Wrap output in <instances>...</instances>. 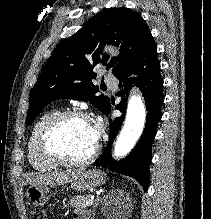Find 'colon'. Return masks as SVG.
I'll use <instances>...</instances> for the list:
<instances>
[{"mask_svg": "<svg viewBox=\"0 0 211 219\" xmlns=\"http://www.w3.org/2000/svg\"><path fill=\"white\" fill-rule=\"evenodd\" d=\"M31 219H53V216L50 212L36 209L31 212Z\"/></svg>", "mask_w": 211, "mask_h": 219, "instance_id": "colon-1", "label": "colon"}]
</instances>
